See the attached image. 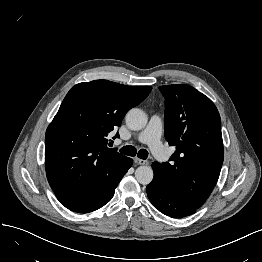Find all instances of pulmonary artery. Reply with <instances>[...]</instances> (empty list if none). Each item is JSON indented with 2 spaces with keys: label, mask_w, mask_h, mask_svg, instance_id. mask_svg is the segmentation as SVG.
<instances>
[{
  "label": "pulmonary artery",
  "mask_w": 262,
  "mask_h": 262,
  "mask_svg": "<svg viewBox=\"0 0 262 262\" xmlns=\"http://www.w3.org/2000/svg\"><path fill=\"white\" fill-rule=\"evenodd\" d=\"M162 126L161 118L158 115H152L146 128L137 136V141L147 144L159 160L166 161L169 156L161 141Z\"/></svg>",
  "instance_id": "1"
}]
</instances>
